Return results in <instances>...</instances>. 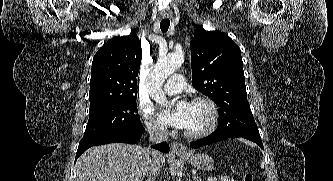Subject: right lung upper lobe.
I'll use <instances>...</instances> for the list:
<instances>
[{
  "instance_id": "right-lung-upper-lobe-1",
  "label": "right lung upper lobe",
  "mask_w": 333,
  "mask_h": 181,
  "mask_svg": "<svg viewBox=\"0 0 333 181\" xmlns=\"http://www.w3.org/2000/svg\"><path fill=\"white\" fill-rule=\"evenodd\" d=\"M141 58V42L136 33L106 42L92 62L90 108L136 98Z\"/></svg>"
}]
</instances>
